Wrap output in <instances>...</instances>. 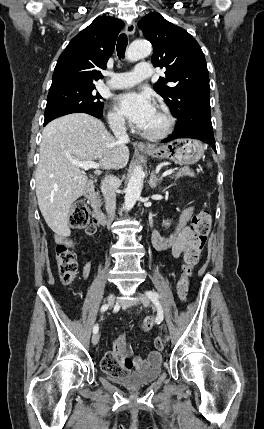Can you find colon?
<instances>
[{"instance_id": "colon-1", "label": "colon", "mask_w": 264, "mask_h": 429, "mask_svg": "<svg viewBox=\"0 0 264 429\" xmlns=\"http://www.w3.org/2000/svg\"><path fill=\"white\" fill-rule=\"evenodd\" d=\"M69 224L72 228L77 229L88 228L92 224L90 213L82 201H77L73 204L69 214ZM210 226L211 214L209 211L202 210L193 216L191 228L194 235L184 254L182 265L183 273L177 284V292L181 300L186 298L189 288V278L193 268L199 261ZM56 259L62 282L66 285L71 284L74 281L77 270L75 254L65 244H58L56 247ZM155 324V319L148 316L142 320L141 328L144 331H149ZM154 345L156 349L160 351L164 348V342L161 338H156ZM102 367L111 375L118 376L128 373L121 359L109 354L104 357Z\"/></svg>"}]
</instances>
